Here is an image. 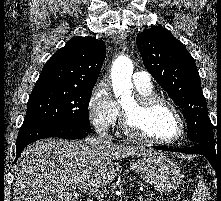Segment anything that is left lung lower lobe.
Here are the masks:
<instances>
[{
	"mask_svg": "<svg viewBox=\"0 0 221 201\" xmlns=\"http://www.w3.org/2000/svg\"><path fill=\"white\" fill-rule=\"evenodd\" d=\"M153 148L165 151L182 152L186 154H201L206 157L217 173L221 170L220 152L216 153L215 149L208 148L202 144H193L190 147L181 149H172L164 146H153Z\"/></svg>",
	"mask_w": 221,
	"mask_h": 201,
	"instance_id": "obj_1",
	"label": "left lung lower lobe"
}]
</instances>
